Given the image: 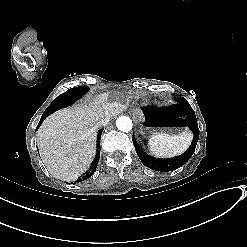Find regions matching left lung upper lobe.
<instances>
[{
    "mask_svg": "<svg viewBox=\"0 0 247 247\" xmlns=\"http://www.w3.org/2000/svg\"><path fill=\"white\" fill-rule=\"evenodd\" d=\"M177 101H178V102H187L186 99L183 98V97L178 98Z\"/></svg>",
    "mask_w": 247,
    "mask_h": 247,
    "instance_id": "left-lung-upper-lobe-1",
    "label": "left lung upper lobe"
}]
</instances>
